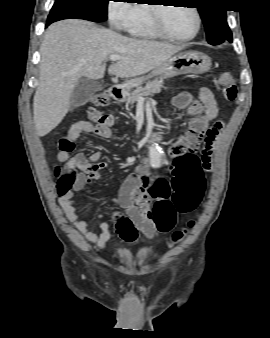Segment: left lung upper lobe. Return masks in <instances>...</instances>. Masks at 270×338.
<instances>
[{
	"label": "left lung upper lobe",
	"mask_w": 270,
	"mask_h": 338,
	"mask_svg": "<svg viewBox=\"0 0 270 338\" xmlns=\"http://www.w3.org/2000/svg\"><path fill=\"white\" fill-rule=\"evenodd\" d=\"M199 1L198 10L205 26L207 41L212 45H218L225 40L232 42L226 11L219 7L222 0Z\"/></svg>",
	"instance_id": "5c2ea615"
}]
</instances>
